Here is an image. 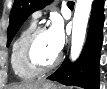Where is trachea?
Returning <instances> with one entry per match:
<instances>
[{
  "label": "trachea",
  "mask_w": 107,
  "mask_h": 89,
  "mask_svg": "<svg viewBox=\"0 0 107 89\" xmlns=\"http://www.w3.org/2000/svg\"><path fill=\"white\" fill-rule=\"evenodd\" d=\"M67 4H68V6H73V5H74V2L69 1Z\"/></svg>",
  "instance_id": "3493384b"
}]
</instances>
